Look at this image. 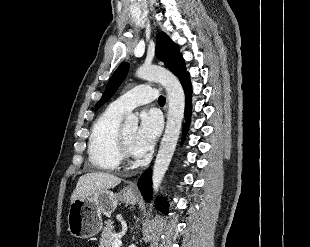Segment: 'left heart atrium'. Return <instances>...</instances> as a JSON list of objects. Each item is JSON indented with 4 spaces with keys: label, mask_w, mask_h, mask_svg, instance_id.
Returning a JSON list of instances; mask_svg holds the SVG:
<instances>
[{
    "label": "left heart atrium",
    "mask_w": 310,
    "mask_h": 247,
    "mask_svg": "<svg viewBox=\"0 0 310 247\" xmlns=\"http://www.w3.org/2000/svg\"><path fill=\"white\" fill-rule=\"evenodd\" d=\"M161 131V122L154 112L143 113L131 150L136 156L146 155L154 146Z\"/></svg>",
    "instance_id": "left-heart-atrium-1"
}]
</instances>
